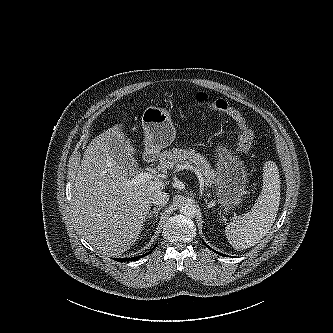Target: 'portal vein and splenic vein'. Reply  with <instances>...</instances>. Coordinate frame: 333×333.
I'll use <instances>...</instances> for the list:
<instances>
[{"label":"portal vein and splenic vein","mask_w":333,"mask_h":333,"mask_svg":"<svg viewBox=\"0 0 333 333\" xmlns=\"http://www.w3.org/2000/svg\"><path fill=\"white\" fill-rule=\"evenodd\" d=\"M188 167H190V166H188ZM190 168L193 169L192 167H190ZM196 174L199 176V178H201V173L200 172L196 171ZM154 178H155V176L152 173L141 172V173L135 175L129 182L131 184H138L140 182H145V181H148V180H152ZM199 180H200V185L203 187L204 186L203 179L201 178Z\"/></svg>","instance_id":"18ae733b"}]
</instances>
